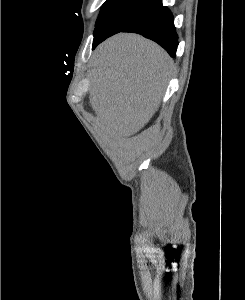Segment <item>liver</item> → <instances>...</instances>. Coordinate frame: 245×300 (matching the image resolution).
Instances as JSON below:
<instances>
[{
  "instance_id": "liver-1",
  "label": "liver",
  "mask_w": 245,
  "mask_h": 300,
  "mask_svg": "<svg viewBox=\"0 0 245 300\" xmlns=\"http://www.w3.org/2000/svg\"><path fill=\"white\" fill-rule=\"evenodd\" d=\"M174 62L156 43L119 33L100 44L94 56L90 104L113 136L141 130L157 111Z\"/></svg>"
}]
</instances>
